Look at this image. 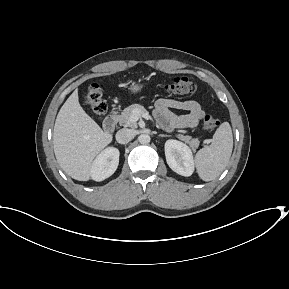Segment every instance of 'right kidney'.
Here are the masks:
<instances>
[{
	"mask_svg": "<svg viewBox=\"0 0 289 289\" xmlns=\"http://www.w3.org/2000/svg\"><path fill=\"white\" fill-rule=\"evenodd\" d=\"M119 155V150L114 147H108L99 153L92 163V179L100 182L110 177L118 167Z\"/></svg>",
	"mask_w": 289,
	"mask_h": 289,
	"instance_id": "1",
	"label": "right kidney"
}]
</instances>
